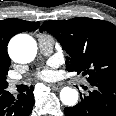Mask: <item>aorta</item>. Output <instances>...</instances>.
Returning <instances> with one entry per match:
<instances>
[{
	"label": "aorta",
	"instance_id": "762f6f07",
	"mask_svg": "<svg viewBox=\"0 0 116 116\" xmlns=\"http://www.w3.org/2000/svg\"><path fill=\"white\" fill-rule=\"evenodd\" d=\"M11 58L18 63H28L36 55L35 40L26 34H20L12 38L8 46ZM60 99L66 106H74L78 101V91L70 87H64L60 92Z\"/></svg>",
	"mask_w": 116,
	"mask_h": 116
}]
</instances>
